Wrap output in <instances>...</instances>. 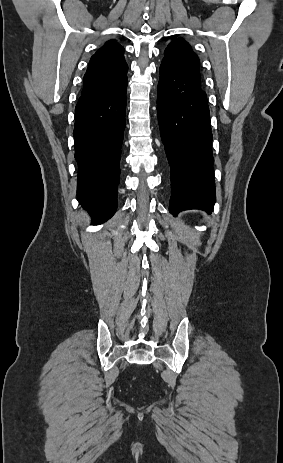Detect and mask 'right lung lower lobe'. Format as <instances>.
Masks as SVG:
<instances>
[{"label":"right lung lower lobe","instance_id":"1","mask_svg":"<svg viewBox=\"0 0 283 463\" xmlns=\"http://www.w3.org/2000/svg\"><path fill=\"white\" fill-rule=\"evenodd\" d=\"M126 88L125 75L109 85L82 93L75 108L77 197L96 224L111 218L117 208Z\"/></svg>","mask_w":283,"mask_h":463}]
</instances>
